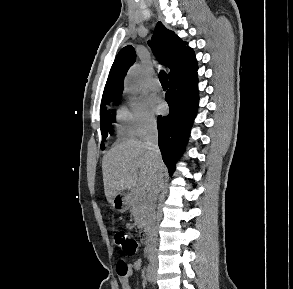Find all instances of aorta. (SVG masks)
Masks as SVG:
<instances>
[{
  "label": "aorta",
  "mask_w": 293,
  "mask_h": 289,
  "mask_svg": "<svg viewBox=\"0 0 293 289\" xmlns=\"http://www.w3.org/2000/svg\"><path fill=\"white\" fill-rule=\"evenodd\" d=\"M125 88L133 93L140 90L141 87V67L140 65H134L131 67L124 82Z\"/></svg>",
  "instance_id": "obj_1"
}]
</instances>
